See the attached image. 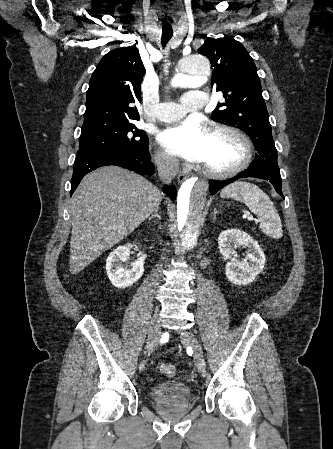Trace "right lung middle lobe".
<instances>
[{
  "label": "right lung middle lobe",
  "instance_id": "1",
  "mask_svg": "<svg viewBox=\"0 0 333 449\" xmlns=\"http://www.w3.org/2000/svg\"><path fill=\"white\" fill-rule=\"evenodd\" d=\"M79 144V151L109 149L135 153L147 149L148 139L143 130L127 120L82 126Z\"/></svg>",
  "mask_w": 333,
  "mask_h": 449
}]
</instances>
